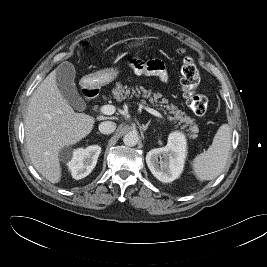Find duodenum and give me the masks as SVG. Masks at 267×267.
Listing matches in <instances>:
<instances>
[{
    "label": "duodenum",
    "mask_w": 267,
    "mask_h": 267,
    "mask_svg": "<svg viewBox=\"0 0 267 267\" xmlns=\"http://www.w3.org/2000/svg\"><path fill=\"white\" fill-rule=\"evenodd\" d=\"M84 91H85L86 93L95 92V90H94L93 87H91V86H86V87H84Z\"/></svg>",
    "instance_id": "obj_1"
}]
</instances>
